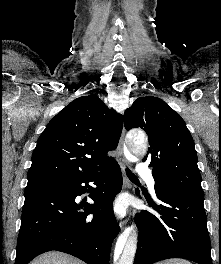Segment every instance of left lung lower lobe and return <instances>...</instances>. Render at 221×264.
Returning <instances> with one entry per match:
<instances>
[{"label":"left lung lower lobe","instance_id":"left-lung-lower-lobe-1","mask_svg":"<svg viewBox=\"0 0 221 264\" xmlns=\"http://www.w3.org/2000/svg\"><path fill=\"white\" fill-rule=\"evenodd\" d=\"M155 193L160 205L149 204L157 213L143 210L136 215L139 234L134 264H153L169 258L212 264L204 198L157 185ZM136 194L140 196L138 190Z\"/></svg>","mask_w":221,"mask_h":264}]
</instances>
